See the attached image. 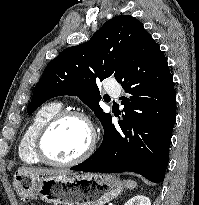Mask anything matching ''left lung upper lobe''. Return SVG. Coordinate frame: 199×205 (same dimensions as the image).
I'll use <instances>...</instances> for the list:
<instances>
[{"label":"left lung upper lobe","instance_id":"1","mask_svg":"<svg viewBox=\"0 0 199 205\" xmlns=\"http://www.w3.org/2000/svg\"><path fill=\"white\" fill-rule=\"evenodd\" d=\"M144 30L134 17L116 16L87 43L63 50L48 64L35 86L27 107L28 114L55 96L73 95L94 111L105 128L111 115L104 113L99 105L101 96L97 82L111 76L119 80L121 70Z\"/></svg>","mask_w":199,"mask_h":205}]
</instances>
